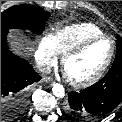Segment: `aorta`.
Segmentation results:
<instances>
[{
	"mask_svg": "<svg viewBox=\"0 0 122 122\" xmlns=\"http://www.w3.org/2000/svg\"><path fill=\"white\" fill-rule=\"evenodd\" d=\"M52 92L56 97L62 98L65 95V89L61 84H54L52 87Z\"/></svg>",
	"mask_w": 122,
	"mask_h": 122,
	"instance_id": "aorta-1",
	"label": "aorta"
}]
</instances>
